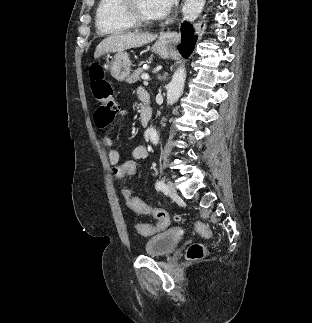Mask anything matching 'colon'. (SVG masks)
<instances>
[{
	"label": "colon",
	"mask_w": 312,
	"mask_h": 323,
	"mask_svg": "<svg viewBox=\"0 0 312 323\" xmlns=\"http://www.w3.org/2000/svg\"><path fill=\"white\" fill-rule=\"evenodd\" d=\"M94 72L97 78H92L90 86L95 100L99 102L94 114V121L97 128L103 129L116 117L119 112V108L114 98L111 83L105 78L103 70L99 67ZM135 165V160H128L126 164H123L118 168L114 165L111 169L114 172L118 171V176H121L124 171H128L130 175H133L135 173ZM124 202L125 204H130L131 213H142L144 209H148L150 207L148 202H138L137 197H129V194H126ZM151 211L155 212L154 216L157 219L155 224L143 223L137 224L134 227V229L142 235L161 232L167 229L171 224L167 213L165 211H161L158 206L151 208ZM177 218L178 217H176V219ZM194 229L197 232L204 233L206 235L211 234L207 226L202 222L195 223ZM204 255L205 248L201 243H194L189 246L187 250V258L192 261L201 260Z\"/></svg>",
	"instance_id": "5ec220e1"
}]
</instances>
